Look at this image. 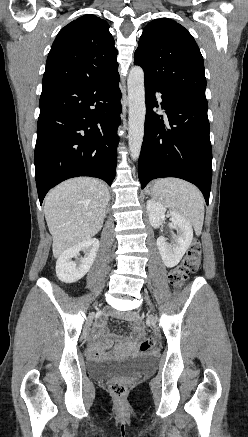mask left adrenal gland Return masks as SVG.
Returning a JSON list of instances; mask_svg holds the SVG:
<instances>
[{
	"label": "left adrenal gland",
	"instance_id": "left-adrenal-gland-1",
	"mask_svg": "<svg viewBox=\"0 0 248 437\" xmlns=\"http://www.w3.org/2000/svg\"><path fill=\"white\" fill-rule=\"evenodd\" d=\"M148 194H151V190L148 191Z\"/></svg>",
	"mask_w": 248,
	"mask_h": 437
}]
</instances>
